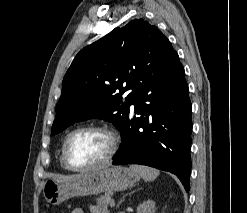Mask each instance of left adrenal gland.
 I'll use <instances>...</instances> for the list:
<instances>
[{
  "label": "left adrenal gland",
  "instance_id": "1",
  "mask_svg": "<svg viewBox=\"0 0 247 213\" xmlns=\"http://www.w3.org/2000/svg\"><path fill=\"white\" fill-rule=\"evenodd\" d=\"M133 192H135V191H133ZM133 192H131L130 194H132ZM124 201V198L120 201V203L119 204H121V202H123Z\"/></svg>",
  "mask_w": 247,
  "mask_h": 213
}]
</instances>
